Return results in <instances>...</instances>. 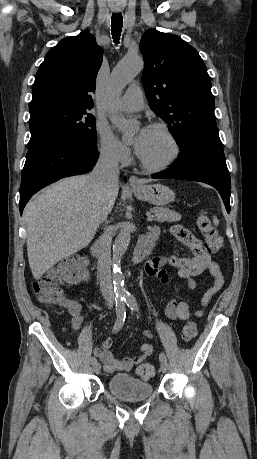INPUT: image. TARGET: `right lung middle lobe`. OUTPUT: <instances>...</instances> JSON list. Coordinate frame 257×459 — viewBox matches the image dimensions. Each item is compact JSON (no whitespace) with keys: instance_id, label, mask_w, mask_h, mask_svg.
Masks as SVG:
<instances>
[{"instance_id":"dd1d6c3e","label":"right lung middle lobe","mask_w":257,"mask_h":459,"mask_svg":"<svg viewBox=\"0 0 257 459\" xmlns=\"http://www.w3.org/2000/svg\"><path fill=\"white\" fill-rule=\"evenodd\" d=\"M31 137L55 136L96 145L95 118L88 108L50 106L30 112Z\"/></svg>"}]
</instances>
